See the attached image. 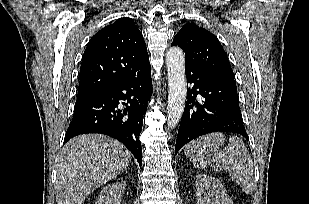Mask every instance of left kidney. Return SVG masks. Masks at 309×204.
<instances>
[{"label":"left kidney","mask_w":309,"mask_h":204,"mask_svg":"<svg viewBox=\"0 0 309 204\" xmlns=\"http://www.w3.org/2000/svg\"><path fill=\"white\" fill-rule=\"evenodd\" d=\"M198 204H233L221 182L205 174L195 177Z\"/></svg>","instance_id":"5707ae66"}]
</instances>
